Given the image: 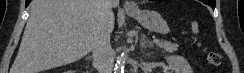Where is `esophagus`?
I'll list each match as a JSON object with an SVG mask.
<instances>
[{
    "instance_id": "esophagus-1",
    "label": "esophagus",
    "mask_w": 244,
    "mask_h": 73,
    "mask_svg": "<svg viewBox=\"0 0 244 73\" xmlns=\"http://www.w3.org/2000/svg\"><path fill=\"white\" fill-rule=\"evenodd\" d=\"M123 7H124L125 10H133V9H135L134 3L130 2V1H125Z\"/></svg>"
}]
</instances>
